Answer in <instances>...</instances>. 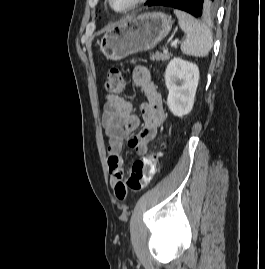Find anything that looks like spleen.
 Segmentation results:
<instances>
[{
    "instance_id": "spleen-1",
    "label": "spleen",
    "mask_w": 265,
    "mask_h": 269,
    "mask_svg": "<svg viewBox=\"0 0 265 269\" xmlns=\"http://www.w3.org/2000/svg\"><path fill=\"white\" fill-rule=\"evenodd\" d=\"M185 39L181 44V51L185 55L206 57L213 45V37L210 28L196 20L192 15L174 9Z\"/></svg>"
}]
</instances>
